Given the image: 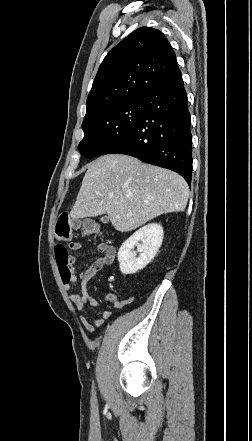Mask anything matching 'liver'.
<instances>
[{
    "instance_id": "1",
    "label": "liver",
    "mask_w": 252,
    "mask_h": 441,
    "mask_svg": "<svg viewBox=\"0 0 252 441\" xmlns=\"http://www.w3.org/2000/svg\"><path fill=\"white\" fill-rule=\"evenodd\" d=\"M188 198V185L179 174L110 154L89 165L70 216L107 213L116 230L129 232L162 214L184 211Z\"/></svg>"
}]
</instances>
